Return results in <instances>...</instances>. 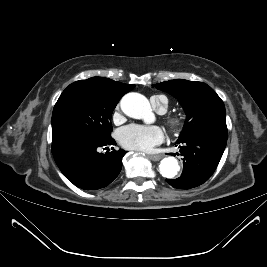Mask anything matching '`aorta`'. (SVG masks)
<instances>
[{"mask_svg": "<svg viewBox=\"0 0 267 267\" xmlns=\"http://www.w3.org/2000/svg\"><path fill=\"white\" fill-rule=\"evenodd\" d=\"M123 113L134 119H146L151 113V106L148 99L139 93H128L120 102ZM180 167L174 157H167L161 160L159 165L160 174L165 178H174Z\"/></svg>", "mask_w": 267, "mask_h": 267, "instance_id": "1", "label": "aorta"}]
</instances>
